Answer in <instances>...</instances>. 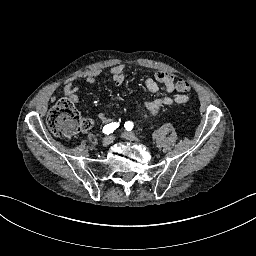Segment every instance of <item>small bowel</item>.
<instances>
[{
  "instance_id": "small-bowel-1",
  "label": "small bowel",
  "mask_w": 256,
  "mask_h": 256,
  "mask_svg": "<svg viewBox=\"0 0 256 256\" xmlns=\"http://www.w3.org/2000/svg\"><path fill=\"white\" fill-rule=\"evenodd\" d=\"M103 73L102 69H94L87 71L77 77L67 81L63 87V92L66 98L72 103H78L79 98L77 95L78 87L76 81H85L86 83L93 84L96 82L97 78ZM110 74L112 80L117 86H121L125 80L126 68L124 65H117L111 68ZM183 80L176 81L175 75L171 72L159 70L153 77L146 79V88L151 93H157L159 91V83L163 85L164 95L158 97L157 99L147 102L143 105V108L151 116L156 117L161 108L165 105L172 104H184L189 100L188 95L185 94L188 90L180 87V83ZM174 91L180 92V94L172 96ZM55 97H52V101H55ZM98 119L102 123L110 122V118L104 113L98 114Z\"/></svg>"
}]
</instances>
